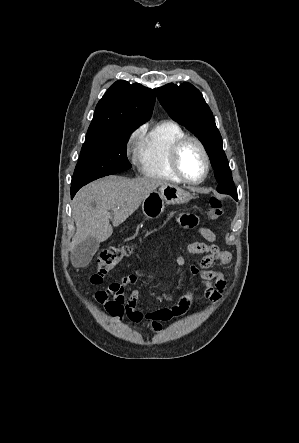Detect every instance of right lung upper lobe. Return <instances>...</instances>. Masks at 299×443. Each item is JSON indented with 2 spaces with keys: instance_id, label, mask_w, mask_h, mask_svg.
<instances>
[{
  "instance_id": "cb5924a9",
  "label": "right lung upper lobe",
  "mask_w": 299,
  "mask_h": 443,
  "mask_svg": "<svg viewBox=\"0 0 299 443\" xmlns=\"http://www.w3.org/2000/svg\"><path fill=\"white\" fill-rule=\"evenodd\" d=\"M155 89L116 81L98 102L87 135L118 127H138L150 119Z\"/></svg>"
}]
</instances>
